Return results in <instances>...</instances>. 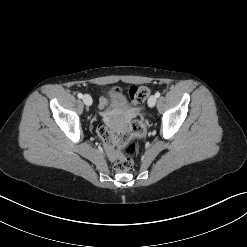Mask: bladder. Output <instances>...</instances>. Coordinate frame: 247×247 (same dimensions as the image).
<instances>
[{
  "mask_svg": "<svg viewBox=\"0 0 247 247\" xmlns=\"http://www.w3.org/2000/svg\"><path fill=\"white\" fill-rule=\"evenodd\" d=\"M109 108L111 110H128L130 103L123 93L113 92L110 96Z\"/></svg>",
  "mask_w": 247,
  "mask_h": 247,
  "instance_id": "obj_1",
  "label": "bladder"
}]
</instances>
